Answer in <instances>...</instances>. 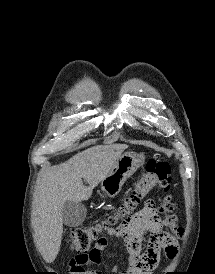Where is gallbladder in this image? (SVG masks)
Returning <instances> with one entry per match:
<instances>
[{"mask_svg":"<svg viewBox=\"0 0 215 274\" xmlns=\"http://www.w3.org/2000/svg\"><path fill=\"white\" fill-rule=\"evenodd\" d=\"M86 212L87 210L83 204L66 201L62 209L63 223L69 227H76L83 223Z\"/></svg>","mask_w":215,"mask_h":274,"instance_id":"obj_1","label":"gallbladder"}]
</instances>
